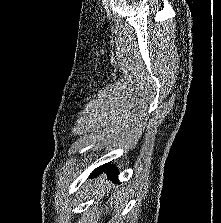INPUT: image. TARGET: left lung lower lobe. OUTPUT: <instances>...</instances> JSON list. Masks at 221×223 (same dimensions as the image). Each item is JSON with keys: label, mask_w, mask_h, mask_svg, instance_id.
I'll use <instances>...</instances> for the list:
<instances>
[{"label": "left lung lower lobe", "mask_w": 221, "mask_h": 223, "mask_svg": "<svg viewBox=\"0 0 221 223\" xmlns=\"http://www.w3.org/2000/svg\"><path fill=\"white\" fill-rule=\"evenodd\" d=\"M100 172H105V173H107L109 178L117 180L118 170L115 168L114 165H111L110 163L105 164V165L100 166L97 169H95L92 172L91 176L98 175Z\"/></svg>", "instance_id": "obj_1"}]
</instances>
